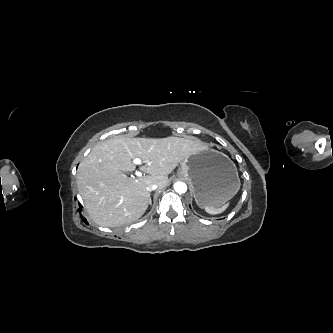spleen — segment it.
<instances>
[{
	"instance_id": "obj_1",
	"label": "spleen",
	"mask_w": 333,
	"mask_h": 333,
	"mask_svg": "<svg viewBox=\"0 0 333 333\" xmlns=\"http://www.w3.org/2000/svg\"><path fill=\"white\" fill-rule=\"evenodd\" d=\"M240 188V180H239V183H238V190ZM229 204H225L223 205L222 207H219V208H214V207H211V206H207L205 207V211L209 214H212V215H215V214H220L222 212H224L227 207H228Z\"/></svg>"
}]
</instances>
